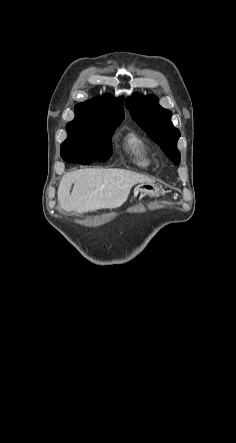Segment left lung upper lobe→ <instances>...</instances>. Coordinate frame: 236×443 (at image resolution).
Returning <instances> with one entry per match:
<instances>
[{"instance_id": "left-lung-upper-lobe-1", "label": "left lung upper lobe", "mask_w": 236, "mask_h": 443, "mask_svg": "<svg viewBox=\"0 0 236 443\" xmlns=\"http://www.w3.org/2000/svg\"><path fill=\"white\" fill-rule=\"evenodd\" d=\"M126 107L134 121L155 140L168 158L175 164L180 163L177 141L180 131L171 122L172 113L162 108L155 96L144 97L135 93L127 98Z\"/></svg>"}]
</instances>
